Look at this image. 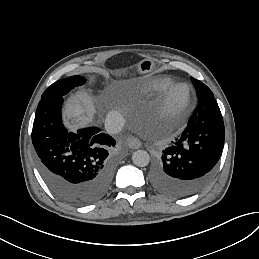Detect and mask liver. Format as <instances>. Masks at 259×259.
Here are the masks:
<instances>
[{
    "label": "liver",
    "mask_w": 259,
    "mask_h": 259,
    "mask_svg": "<svg viewBox=\"0 0 259 259\" xmlns=\"http://www.w3.org/2000/svg\"><path fill=\"white\" fill-rule=\"evenodd\" d=\"M66 117L73 127L86 124L90 120L87 109L79 101L67 106Z\"/></svg>",
    "instance_id": "6515ba94"
}]
</instances>
